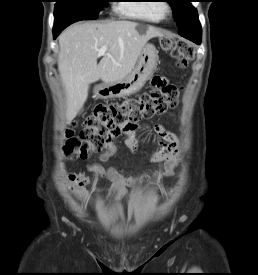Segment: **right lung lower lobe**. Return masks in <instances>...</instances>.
<instances>
[{
  "instance_id": "98d812e1",
  "label": "right lung lower lobe",
  "mask_w": 258,
  "mask_h": 275,
  "mask_svg": "<svg viewBox=\"0 0 258 275\" xmlns=\"http://www.w3.org/2000/svg\"><path fill=\"white\" fill-rule=\"evenodd\" d=\"M79 21L77 19H62V20H54V27H53V36L54 39L59 35V33L69 26L70 24Z\"/></svg>"
}]
</instances>
